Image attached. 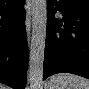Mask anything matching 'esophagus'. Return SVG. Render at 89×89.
I'll return each instance as SVG.
<instances>
[{
	"mask_svg": "<svg viewBox=\"0 0 89 89\" xmlns=\"http://www.w3.org/2000/svg\"><path fill=\"white\" fill-rule=\"evenodd\" d=\"M30 31H31V27H30V21L28 19V21H27V32H28L29 35H30Z\"/></svg>",
	"mask_w": 89,
	"mask_h": 89,
	"instance_id": "esophagus-1",
	"label": "esophagus"
}]
</instances>
